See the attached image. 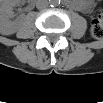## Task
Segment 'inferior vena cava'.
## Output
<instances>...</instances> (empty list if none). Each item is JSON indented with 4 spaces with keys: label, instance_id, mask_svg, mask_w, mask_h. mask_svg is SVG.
<instances>
[{
    "label": "inferior vena cava",
    "instance_id": "obj_1",
    "mask_svg": "<svg viewBox=\"0 0 103 103\" xmlns=\"http://www.w3.org/2000/svg\"><path fill=\"white\" fill-rule=\"evenodd\" d=\"M36 6L38 9L43 10L49 6V2L46 0H39V1H37Z\"/></svg>",
    "mask_w": 103,
    "mask_h": 103
}]
</instances>
